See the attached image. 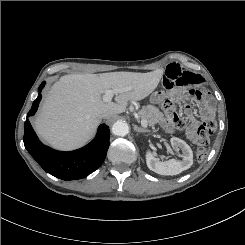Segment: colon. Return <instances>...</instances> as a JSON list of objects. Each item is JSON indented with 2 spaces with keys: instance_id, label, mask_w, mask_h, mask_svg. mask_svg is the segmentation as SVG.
I'll list each match as a JSON object with an SVG mask.
<instances>
[{
  "instance_id": "colon-1",
  "label": "colon",
  "mask_w": 245,
  "mask_h": 245,
  "mask_svg": "<svg viewBox=\"0 0 245 245\" xmlns=\"http://www.w3.org/2000/svg\"><path fill=\"white\" fill-rule=\"evenodd\" d=\"M165 111L170 117L171 126L174 129H183L185 123L182 118L178 116L175 109V103L173 100H166L163 104ZM216 130V122L210 118L203 121V123L189 134L190 140L198 146L196 153L198 161H203L207 156L206 146L209 143L210 136Z\"/></svg>"
}]
</instances>
